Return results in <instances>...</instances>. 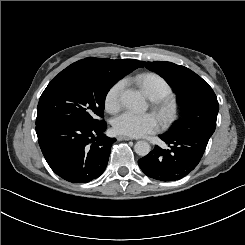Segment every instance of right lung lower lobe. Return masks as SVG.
Masks as SVG:
<instances>
[{
  "label": "right lung lower lobe",
  "instance_id": "1",
  "mask_svg": "<svg viewBox=\"0 0 245 245\" xmlns=\"http://www.w3.org/2000/svg\"><path fill=\"white\" fill-rule=\"evenodd\" d=\"M106 127L104 121H51L36 125V133L50 168L68 182L86 183L104 172L116 141L103 134Z\"/></svg>",
  "mask_w": 245,
  "mask_h": 245
}]
</instances>
